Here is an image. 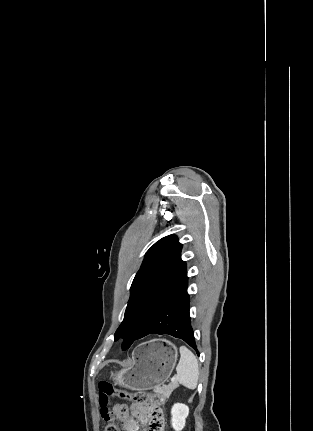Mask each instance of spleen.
<instances>
[{
	"instance_id": "3e777b00",
	"label": "spleen",
	"mask_w": 313,
	"mask_h": 431,
	"mask_svg": "<svg viewBox=\"0 0 313 431\" xmlns=\"http://www.w3.org/2000/svg\"><path fill=\"white\" fill-rule=\"evenodd\" d=\"M180 360L176 367L177 381L190 390L197 387L199 379V366L195 355L186 347L179 349Z\"/></svg>"
}]
</instances>
